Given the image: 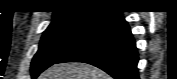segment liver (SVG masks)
<instances>
[{"label": "liver", "instance_id": "6515ba94", "mask_svg": "<svg viewBox=\"0 0 177 79\" xmlns=\"http://www.w3.org/2000/svg\"><path fill=\"white\" fill-rule=\"evenodd\" d=\"M102 70L86 63L55 64L44 71L40 79H109Z\"/></svg>", "mask_w": 177, "mask_h": 79}]
</instances>
